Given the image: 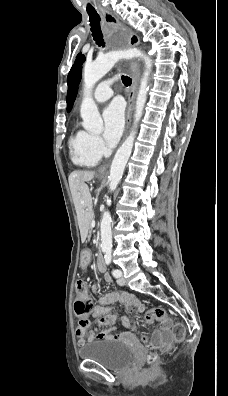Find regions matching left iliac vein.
Here are the masks:
<instances>
[{"label": "left iliac vein", "instance_id": "obj_1", "mask_svg": "<svg viewBox=\"0 0 228 396\" xmlns=\"http://www.w3.org/2000/svg\"><path fill=\"white\" fill-rule=\"evenodd\" d=\"M117 283H118V285H120V286H123V285L125 284V279L123 278L122 274H121L120 277H118Z\"/></svg>", "mask_w": 228, "mask_h": 396}]
</instances>
